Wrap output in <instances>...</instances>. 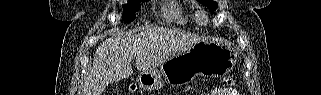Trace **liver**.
Masks as SVG:
<instances>
[{"label":"liver","mask_w":321,"mask_h":95,"mask_svg":"<svg viewBox=\"0 0 321 95\" xmlns=\"http://www.w3.org/2000/svg\"><path fill=\"white\" fill-rule=\"evenodd\" d=\"M201 37L167 28H150L104 40L96 49L93 64L80 95H101L106 87L133 74L131 61L142 72L154 71L173 53L191 49Z\"/></svg>","instance_id":"6515ba94"}]
</instances>
